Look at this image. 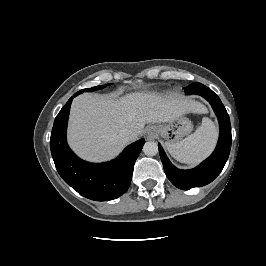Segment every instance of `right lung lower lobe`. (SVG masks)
<instances>
[{
    "label": "right lung lower lobe",
    "instance_id": "right-lung-lower-lobe-1",
    "mask_svg": "<svg viewBox=\"0 0 266 266\" xmlns=\"http://www.w3.org/2000/svg\"><path fill=\"white\" fill-rule=\"evenodd\" d=\"M74 94L57 115L52 128L50 148L62 179L80 195L95 201H108L123 195L129 188L134 163L144 139L129 145L115 160L94 164L78 158L69 148L66 129Z\"/></svg>",
    "mask_w": 266,
    "mask_h": 266
}]
</instances>
